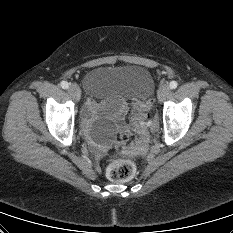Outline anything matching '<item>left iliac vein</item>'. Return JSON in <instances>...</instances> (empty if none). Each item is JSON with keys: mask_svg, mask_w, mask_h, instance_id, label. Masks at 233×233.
I'll list each match as a JSON object with an SVG mask.
<instances>
[{"mask_svg": "<svg viewBox=\"0 0 233 233\" xmlns=\"http://www.w3.org/2000/svg\"><path fill=\"white\" fill-rule=\"evenodd\" d=\"M169 93H170L169 86L166 84L161 85L157 93L158 100L162 102L168 96Z\"/></svg>", "mask_w": 233, "mask_h": 233, "instance_id": "obj_1", "label": "left iliac vein"}]
</instances>
